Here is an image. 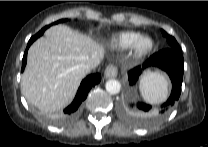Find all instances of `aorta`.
Wrapping results in <instances>:
<instances>
[{
	"label": "aorta",
	"mask_w": 208,
	"mask_h": 147,
	"mask_svg": "<svg viewBox=\"0 0 208 147\" xmlns=\"http://www.w3.org/2000/svg\"><path fill=\"white\" fill-rule=\"evenodd\" d=\"M106 91L110 94H118L121 90L120 83L115 79H110L105 84Z\"/></svg>",
	"instance_id": "762f6f07"
}]
</instances>
